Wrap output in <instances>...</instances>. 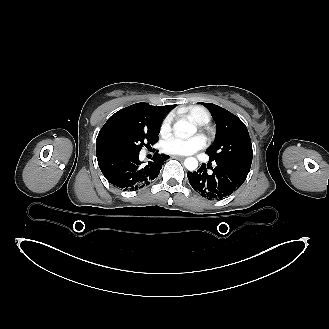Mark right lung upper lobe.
Returning <instances> with one entry per match:
<instances>
[{
    "label": "right lung upper lobe",
    "mask_w": 329,
    "mask_h": 329,
    "mask_svg": "<svg viewBox=\"0 0 329 329\" xmlns=\"http://www.w3.org/2000/svg\"><path fill=\"white\" fill-rule=\"evenodd\" d=\"M175 105L152 106L141 102L130 105L113 114L100 130L96 140V153L109 150L105 144L106 135L122 127H148L158 119H163Z\"/></svg>",
    "instance_id": "cb5924a9"
}]
</instances>
